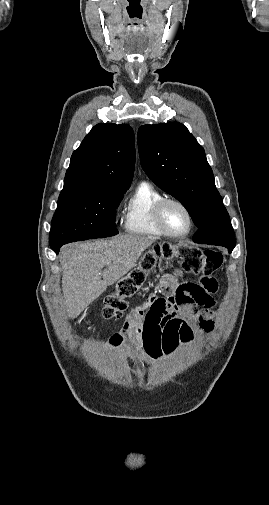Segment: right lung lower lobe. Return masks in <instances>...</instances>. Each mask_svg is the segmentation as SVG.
<instances>
[{"label":"right lung lower lobe","instance_id":"right-lung-lower-lobe-1","mask_svg":"<svg viewBox=\"0 0 269 505\" xmlns=\"http://www.w3.org/2000/svg\"><path fill=\"white\" fill-rule=\"evenodd\" d=\"M62 245L58 244V245H53L51 246V249L55 252V253H59V249Z\"/></svg>","mask_w":269,"mask_h":505}]
</instances>
